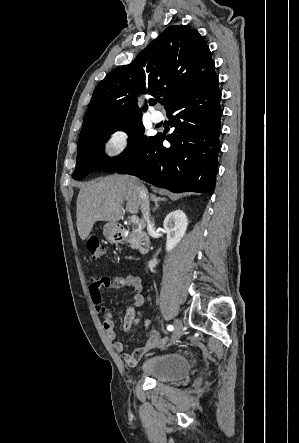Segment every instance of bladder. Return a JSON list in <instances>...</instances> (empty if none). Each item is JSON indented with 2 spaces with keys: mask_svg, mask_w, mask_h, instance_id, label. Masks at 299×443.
<instances>
[{
  "mask_svg": "<svg viewBox=\"0 0 299 443\" xmlns=\"http://www.w3.org/2000/svg\"><path fill=\"white\" fill-rule=\"evenodd\" d=\"M190 361L180 353H164L145 359L140 371L145 377L159 382H174L188 375Z\"/></svg>",
  "mask_w": 299,
  "mask_h": 443,
  "instance_id": "31cf9c89",
  "label": "bladder"
}]
</instances>
